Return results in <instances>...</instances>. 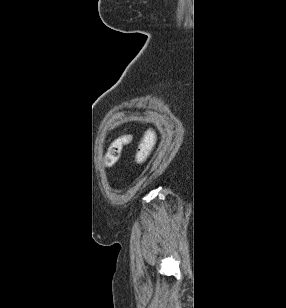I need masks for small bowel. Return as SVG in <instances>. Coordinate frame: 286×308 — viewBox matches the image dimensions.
<instances>
[{
	"label": "small bowel",
	"instance_id": "1",
	"mask_svg": "<svg viewBox=\"0 0 286 308\" xmlns=\"http://www.w3.org/2000/svg\"><path fill=\"white\" fill-rule=\"evenodd\" d=\"M154 138H155L154 133H153V132H149V133L146 135V137L144 138V140H145V139L154 140Z\"/></svg>",
	"mask_w": 286,
	"mask_h": 308
}]
</instances>
